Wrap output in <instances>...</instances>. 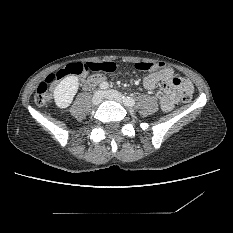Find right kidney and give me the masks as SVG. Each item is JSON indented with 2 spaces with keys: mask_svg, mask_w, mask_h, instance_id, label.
I'll list each match as a JSON object with an SVG mask.
<instances>
[{
  "mask_svg": "<svg viewBox=\"0 0 233 233\" xmlns=\"http://www.w3.org/2000/svg\"><path fill=\"white\" fill-rule=\"evenodd\" d=\"M79 87L76 76H66L54 89V100L57 107L67 108L73 101Z\"/></svg>",
  "mask_w": 233,
  "mask_h": 233,
  "instance_id": "ca27d5eb",
  "label": "right kidney"
}]
</instances>
